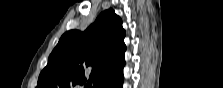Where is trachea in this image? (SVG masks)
<instances>
[{
  "instance_id": "trachea-1",
  "label": "trachea",
  "mask_w": 223,
  "mask_h": 88,
  "mask_svg": "<svg viewBox=\"0 0 223 88\" xmlns=\"http://www.w3.org/2000/svg\"><path fill=\"white\" fill-rule=\"evenodd\" d=\"M87 86H88V88H91V86H92V83H88V85H87Z\"/></svg>"
}]
</instances>
